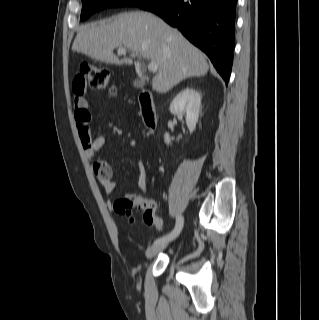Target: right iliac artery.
Masks as SVG:
<instances>
[{
	"label": "right iliac artery",
	"mask_w": 319,
	"mask_h": 320,
	"mask_svg": "<svg viewBox=\"0 0 319 320\" xmlns=\"http://www.w3.org/2000/svg\"><path fill=\"white\" fill-rule=\"evenodd\" d=\"M183 224H184L183 217L181 215H178L176 218V225H175V228L173 229V231L167 235H164V236L156 239L154 241V245L166 243L168 241L175 239L179 235L180 231L182 230Z\"/></svg>",
	"instance_id": "82829eb1"
}]
</instances>
